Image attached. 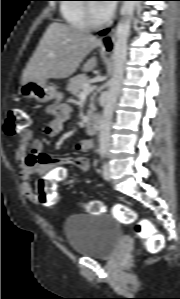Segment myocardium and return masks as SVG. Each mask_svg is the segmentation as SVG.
Returning <instances> with one entry per match:
<instances>
[{
	"mask_svg": "<svg viewBox=\"0 0 180 299\" xmlns=\"http://www.w3.org/2000/svg\"><path fill=\"white\" fill-rule=\"evenodd\" d=\"M86 10V19L89 27L91 28H101L109 24L111 21V16H107L103 20H96L93 14V6L92 4H86L85 5Z\"/></svg>",
	"mask_w": 180,
	"mask_h": 299,
	"instance_id": "f54148a6",
	"label": "myocardium"
}]
</instances>
